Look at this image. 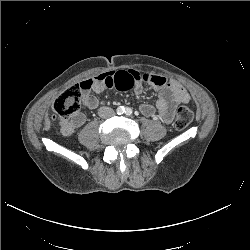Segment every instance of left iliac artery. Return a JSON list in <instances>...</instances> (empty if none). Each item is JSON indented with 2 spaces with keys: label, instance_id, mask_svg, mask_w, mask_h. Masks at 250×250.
<instances>
[{
  "label": "left iliac artery",
  "instance_id": "44dca946",
  "mask_svg": "<svg viewBox=\"0 0 250 250\" xmlns=\"http://www.w3.org/2000/svg\"><path fill=\"white\" fill-rule=\"evenodd\" d=\"M124 113H125L126 115L130 116V115H132L133 111H132L131 108L126 107V108L124 109Z\"/></svg>",
  "mask_w": 250,
  "mask_h": 250
}]
</instances>
